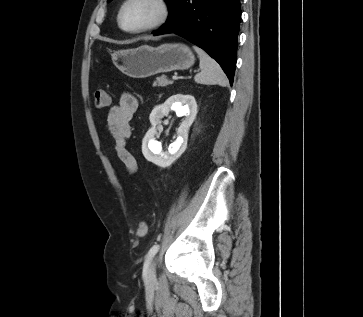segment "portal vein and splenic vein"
Returning <instances> with one entry per match:
<instances>
[{
    "label": "portal vein and splenic vein",
    "mask_w": 363,
    "mask_h": 317,
    "mask_svg": "<svg viewBox=\"0 0 363 317\" xmlns=\"http://www.w3.org/2000/svg\"><path fill=\"white\" fill-rule=\"evenodd\" d=\"M172 79H173V80H176V79H177V76H173V77H172Z\"/></svg>",
    "instance_id": "18ae733b"
}]
</instances>
